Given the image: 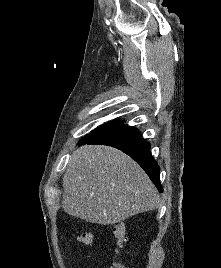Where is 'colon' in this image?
<instances>
[{
	"instance_id": "5ec220e1",
	"label": "colon",
	"mask_w": 221,
	"mask_h": 268,
	"mask_svg": "<svg viewBox=\"0 0 221 268\" xmlns=\"http://www.w3.org/2000/svg\"><path fill=\"white\" fill-rule=\"evenodd\" d=\"M113 233L117 239L118 245L122 246L123 243L126 240V229L125 226L123 224H116L113 227ZM77 239L79 242L83 243V244H91L93 241V235L91 232L89 231H84L81 232L78 236ZM110 268H126L123 264L121 263H114Z\"/></svg>"
}]
</instances>
